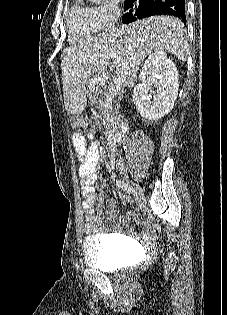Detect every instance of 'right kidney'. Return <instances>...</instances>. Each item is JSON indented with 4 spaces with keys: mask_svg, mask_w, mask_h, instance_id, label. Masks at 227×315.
<instances>
[{
    "mask_svg": "<svg viewBox=\"0 0 227 315\" xmlns=\"http://www.w3.org/2000/svg\"><path fill=\"white\" fill-rule=\"evenodd\" d=\"M140 78L133 102L143 118L157 121L174 106L179 87L177 68L164 51H155L145 61Z\"/></svg>",
    "mask_w": 227,
    "mask_h": 315,
    "instance_id": "obj_1",
    "label": "right kidney"
}]
</instances>
